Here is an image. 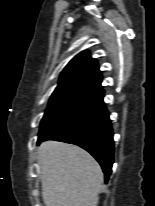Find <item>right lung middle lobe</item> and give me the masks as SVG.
Instances as JSON below:
<instances>
[{
	"label": "right lung middle lobe",
	"mask_w": 155,
	"mask_h": 206,
	"mask_svg": "<svg viewBox=\"0 0 155 206\" xmlns=\"http://www.w3.org/2000/svg\"><path fill=\"white\" fill-rule=\"evenodd\" d=\"M103 97V92L89 88L56 89L41 120L38 139L94 109Z\"/></svg>",
	"instance_id": "1"
}]
</instances>
